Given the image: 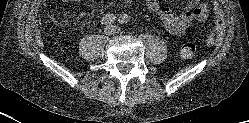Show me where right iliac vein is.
Returning <instances> with one entry per match:
<instances>
[{"instance_id":"obj_1","label":"right iliac vein","mask_w":249,"mask_h":123,"mask_svg":"<svg viewBox=\"0 0 249 123\" xmlns=\"http://www.w3.org/2000/svg\"><path fill=\"white\" fill-rule=\"evenodd\" d=\"M113 33H114V29L111 26L105 28L106 35H112Z\"/></svg>"}]
</instances>
